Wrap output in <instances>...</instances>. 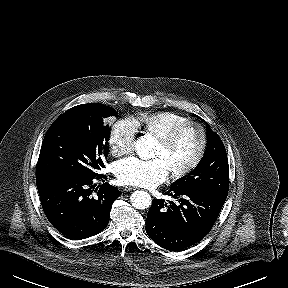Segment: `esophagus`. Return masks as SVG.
Masks as SVG:
<instances>
[{
	"label": "esophagus",
	"mask_w": 288,
	"mask_h": 288,
	"mask_svg": "<svg viewBox=\"0 0 288 288\" xmlns=\"http://www.w3.org/2000/svg\"><path fill=\"white\" fill-rule=\"evenodd\" d=\"M124 191H132V190H136V187H131V186H126L123 188Z\"/></svg>",
	"instance_id": "1"
}]
</instances>
